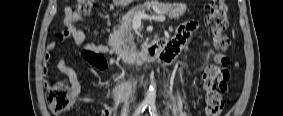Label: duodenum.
Wrapping results in <instances>:
<instances>
[{"label": "duodenum", "mask_w": 283, "mask_h": 116, "mask_svg": "<svg viewBox=\"0 0 283 116\" xmlns=\"http://www.w3.org/2000/svg\"><path fill=\"white\" fill-rule=\"evenodd\" d=\"M112 50L122 57L128 63H136L139 61L150 62L157 57H162L163 52V43L161 41H156L153 44L146 46L141 51L137 52H121L115 44H111ZM172 57H168L165 60V63L169 64L172 62ZM132 85L131 81H125L122 85V90L125 91L130 89Z\"/></svg>", "instance_id": "duodenum-1"}]
</instances>
